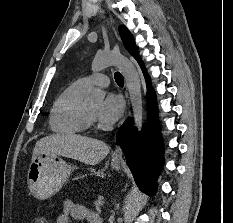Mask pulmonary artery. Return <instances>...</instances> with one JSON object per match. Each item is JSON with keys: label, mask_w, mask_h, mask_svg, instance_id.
Instances as JSON below:
<instances>
[{"label": "pulmonary artery", "mask_w": 233, "mask_h": 223, "mask_svg": "<svg viewBox=\"0 0 233 223\" xmlns=\"http://www.w3.org/2000/svg\"><path fill=\"white\" fill-rule=\"evenodd\" d=\"M79 81L85 88H89L93 85L107 86L109 78L103 74H92L82 77Z\"/></svg>", "instance_id": "1"}]
</instances>
